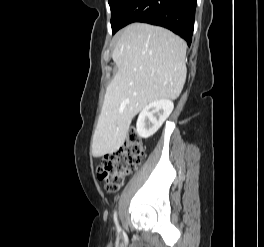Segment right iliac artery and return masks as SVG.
I'll return each instance as SVG.
<instances>
[{"instance_id":"right-iliac-artery-1","label":"right iliac artery","mask_w":264,"mask_h":247,"mask_svg":"<svg viewBox=\"0 0 264 247\" xmlns=\"http://www.w3.org/2000/svg\"><path fill=\"white\" fill-rule=\"evenodd\" d=\"M114 221H115V224H116L117 230H118V231H121V228H120V226H119V224H118V221H117V214H116V212L114 213Z\"/></svg>"}]
</instances>
